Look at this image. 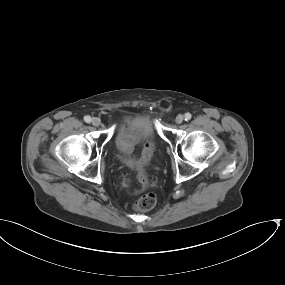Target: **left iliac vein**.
<instances>
[{
    "label": "left iliac vein",
    "instance_id": "4c4485c4",
    "mask_svg": "<svg viewBox=\"0 0 285 285\" xmlns=\"http://www.w3.org/2000/svg\"><path fill=\"white\" fill-rule=\"evenodd\" d=\"M183 120H184V117L181 114L177 115L176 118H175V122L177 124H181L183 122Z\"/></svg>",
    "mask_w": 285,
    "mask_h": 285
}]
</instances>
